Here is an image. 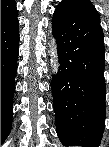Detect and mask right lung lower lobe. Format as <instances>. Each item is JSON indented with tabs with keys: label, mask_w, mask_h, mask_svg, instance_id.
I'll use <instances>...</instances> for the list:
<instances>
[{
	"label": "right lung lower lobe",
	"mask_w": 109,
	"mask_h": 147,
	"mask_svg": "<svg viewBox=\"0 0 109 147\" xmlns=\"http://www.w3.org/2000/svg\"><path fill=\"white\" fill-rule=\"evenodd\" d=\"M18 43L19 24L16 16L1 24V143L11 130Z\"/></svg>",
	"instance_id": "1"
}]
</instances>
